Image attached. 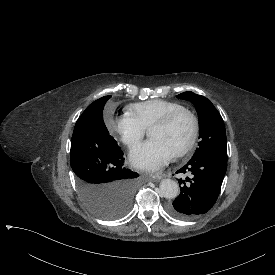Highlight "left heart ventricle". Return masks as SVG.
Returning <instances> with one entry per match:
<instances>
[{
  "label": "left heart ventricle",
  "mask_w": 275,
  "mask_h": 275,
  "mask_svg": "<svg viewBox=\"0 0 275 275\" xmlns=\"http://www.w3.org/2000/svg\"><path fill=\"white\" fill-rule=\"evenodd\" d=\"M191 123L187 116L178 118L170 128L154 127L150 130L151 139L165 143L174 153L183 146L190 135Z\"/></svg>",
  "instance_id": "b2bd125f"
}]
</instances>
